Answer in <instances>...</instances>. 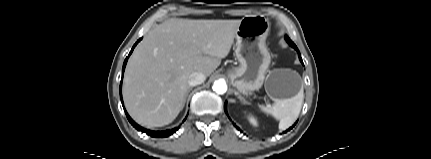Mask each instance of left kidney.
Instances as JSON below:
<instances>
[{
    "label": "left kidney",
    "instance_id": "1",
    "mask_svg": "<svg viewBox=\"0 0 431 159\" xmlns=\"http://www.w3.org/2000/svg\"><path fill=\"white\" fill-rule=\"evenodd\" d=\"M250 122L254 125H256V120L254 118H250Z\"/></svg>",
    "mask_w": 431,
    "mask_h": 159
}]
</instances>
